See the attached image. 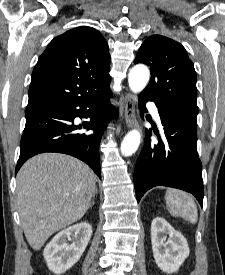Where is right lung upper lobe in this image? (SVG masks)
Masks as SVG:
<instances>
[{"mask_svg": "<svg viewBox=\"0 0 225 275\" xmlns=\"http://www.w3.org/2000/svg\"><path fill=\"white\" fill-rule=\"evenodd\" d=\"M108 45L99 31L83 26L54 38L32 73L26 112L101 93L110 83Z\"/></svg>", "mask_w": 225, "mask_h": 275, "instance_id": "cb5924a9", "label": "right lung upper lobe"}]
</instances>
